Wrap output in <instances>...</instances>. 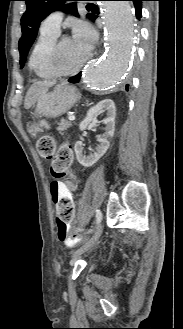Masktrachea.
Listing matches in <instances>:
<instances>
[{"instance_id":"3493384b","label":"trachea","mask_w":183,"mask_h":329,"mask_svg":"<svg viewBox=\"0 0 183 329\" xmlns=\"http://www.w3.org/2000/svg\"><path fill=\"white\" fill-rule=\"evenodd\" d=\"M87 6H88V7H89V6H92V4H88Z\"/></svg>"}]
</instances>
